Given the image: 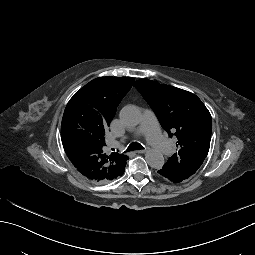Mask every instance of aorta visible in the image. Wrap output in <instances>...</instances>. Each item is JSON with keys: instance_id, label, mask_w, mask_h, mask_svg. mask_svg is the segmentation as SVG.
I'll return each instance as SVG.
<instances>
[{"instance_id": "aorta-1", "label": "aorta", "mask_w": 255, "mask_h": 255, "mask_svg": "<svg viewBox=\"0 0 255 255\" xmlns=\"http://www.w3.org/2000/svg\"><path fill=\"white\" fill-rule=\"evenodd\" d=\"M120 119L126 126H136L140 123L141 112L138 107L127 105L120 111ZM145 159L148 165L154 169H161L164 165L163 154L156 149L148 150Z\"/></svg>"}]
</instances>
